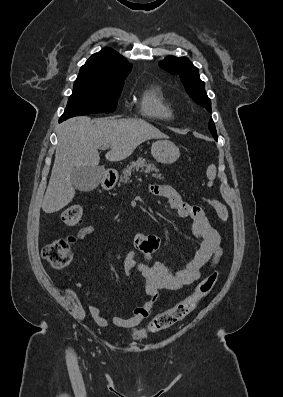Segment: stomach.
I'll use <instances>...</instances> for the list:
<instances>
[{"mask_svg":"<svg viewBox=\"0 0 283 397\" xmlns=\"http://www.w3.org/2000/svg\"><path fill=\"white\" fill-rule=\"evenodd\" d=\"M151 154L160 163L172 164L180 157V150L169 140H158L152 144Z\"/></svg>","mask_w":283,"mask_h":397,"instance_id":"0dacf381","label":"stomach"}]
</instances>
